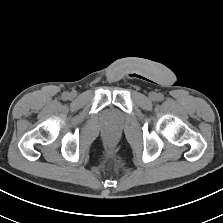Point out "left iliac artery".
<instances>
[{"instance_id":"1","label":"left iliac artery","mask_w":223,"mask_h":223,"mask_svg":"<svg viewBox=\"0 0 223 223\" xmlns=\"http://www.w3.org/2000/svg\"><path fill=\"white\" fill-rule=\"evenodd\" d=\"M164 99V96L161 94V93H159L158 95H157V100L158 101H162Z\"/></svg>"}]
</instances>
